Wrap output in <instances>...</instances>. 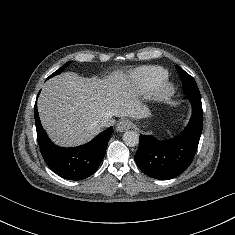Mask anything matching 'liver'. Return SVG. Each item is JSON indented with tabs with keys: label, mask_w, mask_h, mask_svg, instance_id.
I'll list each match as a JSON object with an SVG mask.
<instances>
[{
	"label": "liver",
	"mask_w": 235,
	"mask_h": 235,
	"mask_svg": "<svg viewBox=\"0 0 235 235\" xmlns=\"http://www.w3.org/2000/svg\"><path fill=\"white\" fill-rule=\"evenodd\" d=\"M41 123L51 140L60 146L84 144L102 129L98 121L146 116L145 108L122 72L105 80L85 79L66 72L48 80L38 99Z\"/></svg>",
	"instance_id": "1"
}]
</instances>
